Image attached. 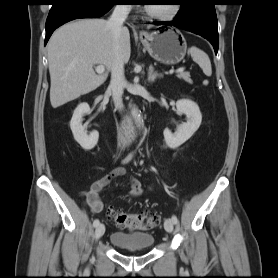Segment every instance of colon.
Instances as JSON below:
<instances>
[{"label":"colon","mask_w":278,"mask_h":278,"mask_svg":"<svg viewBox=\"0 0 278 278\" xmlns=\"http://www.w3.org/2000/svg\"><path fill=\"white\" fill-rule=\"evenodd\" d=\"M107 215L122 229L149 230L160 224V218L156 214L140 212L130 213L114 206H109Z\"/></svg>","instance_id":"obj_1"}]
</instances>
